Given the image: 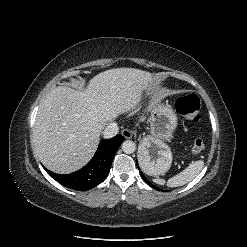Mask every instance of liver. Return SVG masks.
I'll return each instance as SVG.
<instances>
[{
    "mask_svg": "<svg viewBox=\"0 0 247 247\" xmlns=\"http://www.w3.org/2000/svg\"><path fill=\"white\" fill-rule=\"evenodd\" d=\"M152 86L149 72L114 68L94 76L83 90L54 88L40 103L33 130L41 163L58 174L83 167L97 149L102 128L136 109Z\"/></svg>",
    "mask_w": 247,
    "mask_h": 247,
    "instance_id": "1",
    "label": "liver"
}]
</instances>
